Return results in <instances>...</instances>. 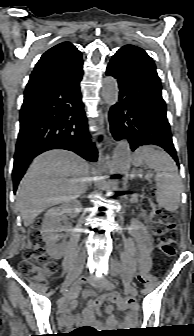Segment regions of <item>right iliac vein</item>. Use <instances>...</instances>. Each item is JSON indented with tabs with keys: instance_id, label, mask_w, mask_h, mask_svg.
<instances>
[{
	"instance_id": "1",
	"label": "right iliac vein",
	"mask_w": 194,
	"mask_h": 336,
	"mask_svg": "<svg viewBox=\"0 0 194 336\" xmlns=\"http://www.w3.org/2000/svg\"><path fill=\"white\" fill-rule=\"evenodd\" d=\"M85 261H86V255H82L78 258V261H77L75 267L71 270V272L69 273L66 280L63 282V284L61 286V291L62 292H66L68 290V288L80 276V274L82 273Z\"/></svg>"
}]
</instances>
